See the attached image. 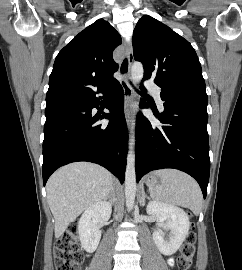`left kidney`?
Segmentation results:
<instances>
[{"mask_svg":"<svg viewBox=\"0 0 242 270\" xmlns=\"http://www.w3.org/2000/svg\"><path fill=\"white\" fill-rule=\"evenodd\" d=\"M147 214L155 216L164 230H170L169 239L165 233L157 230L153 233V240L164 255H173L180 248L190 228V221L185 211L177 206L150 201L147 205Z\"/></svg>","mask_w":242,"mask_h":270,"instance_id":"obj_1","label":"left kidney"}]
</instances>
